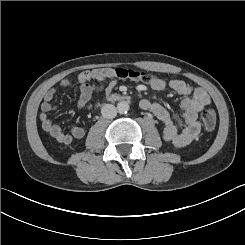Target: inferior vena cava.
<instances>
[{"instance_id":"inferior-vena-cava-1","label":"inferior vena cava","mask_w":245,"mask_h":245,"mask_svg":"<svg viewBox=\"0 0 245 245\" xmlns=\"http://www.w3.org/2000/svg\"><path fill=\"white\" fill-rule=\"evenodd\" d=\"M102 116L106 119H113L117 115V109L112 104H105L101 109Z\"/></svg>"}]
</instances>
